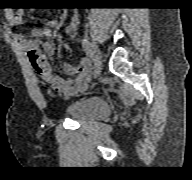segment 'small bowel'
Returning <instances> with one entry per match:
<instances>
[{
	"label": "small bowel",
	"instance_id": "c3829d8e",
	"mask_svg": "<svg viewBox=\"0 0 192 180\" xmlns=\"http://www.w3.org/2000/svg\"><path fill=\"white\" fill-rule=\"evenodd\" d=\"M23 11L18 10L12 15L14 25L23 23ZM57 26L56 20H51L46 27L32 31V38L22 41L24 48L28 52V57L32 67L45 81L49 93L55 97L67 99L84 91L90 81V62L84 58L78 66L65 64L64 73L68 78L56 76L46 56H50L55 51L52 41V27ZM79 17L74 14L65 29L69 37H75L78 33Z\"/></svg>",
	"mask_w": 192,
	"mask_h": 180
}]
</instances>
